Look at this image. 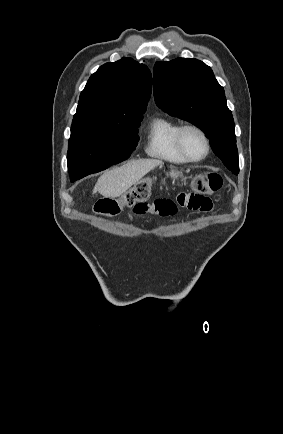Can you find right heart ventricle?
<instances>
[{
    "instance_id": "e07e8e85",
    "label": "right heart ventricle",
    "mask_w": 283,
    "mask_h": 434,
    "mask_svg": "<svg viewBox=\"0 0 283 434\" xmlns=\"http://www.w3.org/2000/svg\"><path fill=\"white\" fill-rule=\"evenodd\" d=\"M180 124L168 117L158 116L151 120L146 138L145 152L148 156L173 164L187 160L179 153L175 136Z\"/></svg>"
}]
</instances>
